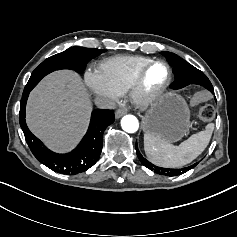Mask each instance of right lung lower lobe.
<instances>
[{"label": "right lung lower lobe", "mask_w": 237, "mask_h": 237, "mask_svg": "<svg viewBox=\"0 0 237 237\" xmlns=\"http://www.w3.org/2000/svg\"><path fill=\"white\" fill-rule=\"evenodd\" d=\"M32 89L25 87L23 91L19 119L26 142L34 156L51 170L65 175H75L89 169L101 154L103 133L114 122V112L112 110H94L88 131L75 150L68 154H57L36 138L26 125L25 107Z\"/></svg>", "instance_id": "obj_1"}]
</instances>
